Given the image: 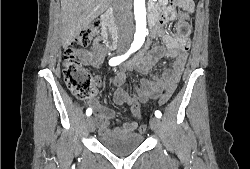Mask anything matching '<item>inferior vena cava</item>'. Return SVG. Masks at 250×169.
Segmentation results:
<instances>
[{
    "label": "inferior vena cava",
    "mask_w": 250,
    "mask_h": 169,
    "mask_svg": "<svg viewBox=\"0 0 250 169\" xmlns=\"http://www.w3.org/2000/svg\"><path fill=\"white\" fill-rule=\"evenodd\" d=\"M117 2L115 18L118 32L122 34L133 28L132 0H117Z\"/></svg>",
    "instance_id": "602c4592"
}]
</instances>
